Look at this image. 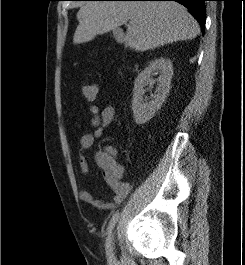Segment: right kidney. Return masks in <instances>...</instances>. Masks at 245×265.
I'll list each match as a JSON object with an SVG mask.
<instances>
[{
    "instance_id": "1",
    "label": "right kidney",
    "mask_w": 245,
    "mask_h": 265,
    "mask_svg": "<svg viewBox=\"0 0 245 265\" xmlns=\"http://www.w3.org/2000/svg\"><path fill=\"white\" fill-rule=\"evenodd\" d=\"M158 73L160 76L157 79H153L152 76ZM172 75V62L169 59L161 57L152 61L135 79L132 111L136 124H145L154 116L155 112L161 108L169 93ZM156 82V91L154 95L151 96V100L147 101L143 98L146 92L145 87L149 86L147 90H150Z\"/></svg>"
}]
</instances>
